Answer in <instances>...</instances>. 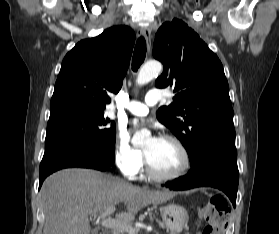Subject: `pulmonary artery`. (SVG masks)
<instances>
[{
    "instance_id": "e3ab8cb5",
    "label": "pulmonary artery",
    "mask_w": 279,
    "mask_h": 234,
    "mask_svg": "<svg viewBox=\"0 0 279 234\" xmlns=\"http://www.w3.org/2000/svg\"><path fill=\"white\" fill-rule=\"evenodd\" d=\"M162 99V93L158 90L149 91L144 99L141 101H128L124 104V109L133 115L144 116L148 113L149 107L155 105Z\"/></svg>"
}]
</instances>
